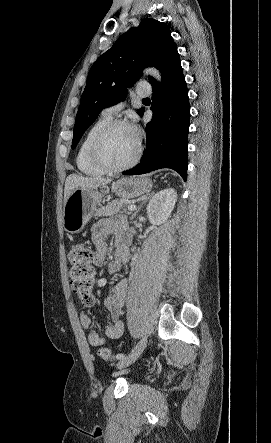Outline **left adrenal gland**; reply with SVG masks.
Returning <instances> with one entry per match:
<instances>
[{"label":"left adrenal gland","instance_id":"a2214340","mask_svg":"<svg viewBox=\"0 0 271 443\" xmlns=\"http://www.w3.org/2000/svg\"><path fill=\"white\" fill-rule=\"evenodd\" d=\"M151 196H148V198H145V200H142V204H140L139 208H137L136 212H134L133 216H131L130 220H133V218H135L136 214H138V212H140L141 208H143V204H146V202H148V200H150Z\"/></svg>","mask_w":271,"mask_h":443}]
</instances>
